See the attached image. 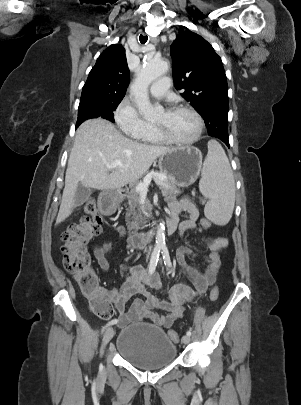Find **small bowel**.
Here are the masks:
<instances>
[{"label": "small bowel", "mask_w": 301, "mask_h": 405, "mask_svg": "<svg viewBox=\"0 0 301 405\" xmlns=\"http://www.w3.org/2000/svg\"><path fill=\"white\" fill-rule=\"evenodd\" d=\"M169 217L179 221L182 213L187 214V218L180 222L179 232L183 235L186 231L197 227L199 211L197 207L188 199L172 201L169 203ZM119 236L125 235V229L118 226L115 229ZM209 253L204 256L206 268L204 271L198 270L187 261V257L194 255L188 247H180L176 253V259L184 273L189 277L195 289L178 284L168 291L163 290L157 272L150 274L145 269L136 264H123L121 273L123 284L120 288L101 289L108 302L114 305L118 318L117 324L124 327L130 323L148 319L154 324L169 328L184 314L185 304L196 296L204 294L216 281L217 273L220 269L219 252L228 245V240L224 237H217L208 241ZM113 248V242L106 240L94 248V256L103 270L110 268L108 254ZM148 288L159 291L164 298H158L151 293ZM135 295L142 298L135 299L129 306V302Z\"/></svg>", "instance_id": "c3829d8e"}]
</instances>
